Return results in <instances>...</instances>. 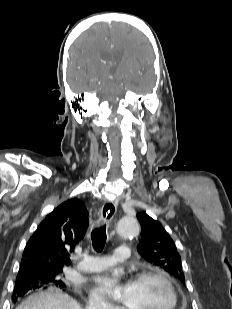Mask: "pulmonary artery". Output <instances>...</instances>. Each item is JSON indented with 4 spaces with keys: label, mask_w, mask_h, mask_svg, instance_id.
<instances>
[{
    "label": "pulmonary artery",
    "mask_w": 232,
    "mask_h": 309,
    "mask_svg": "<svg viewBox=\"0 0 232 309\" xmlns=\"http://www.w3.org/2000/svg\"><path fill=\"white\" fill-rule=\"evenodd\" d=\"M130 255V249L127 246H118L115 248L113 256H84L83 259L77 264L76 269L87 273L105 270L113 266L116 261L128 260Z\"/></svg>",
    "instance_id": "obj_1"
}]
</instances>
